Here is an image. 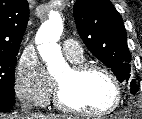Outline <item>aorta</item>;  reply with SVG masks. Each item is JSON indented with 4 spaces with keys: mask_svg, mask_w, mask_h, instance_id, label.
<instances>
[{
    "mask_svg": "<svg viewBox=\"0 0 142 119\" xmlns=\"http://www.w3.org/2000/svg\"><path fill=\"white\" fill-rule=\"evenodd\" d=\"M63 32V23L59 12L52 11L49 19L39 28L35 41L42 59L47 63L48 72L54 75L66 67L58 41Z\"/></svg>",
    "mask_w": 142,
    "mask_h": 119,
    "instance_id": "762f6f07",
    "label": "aorta"
}]
</instances>
